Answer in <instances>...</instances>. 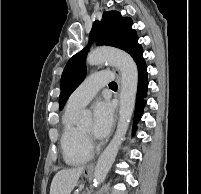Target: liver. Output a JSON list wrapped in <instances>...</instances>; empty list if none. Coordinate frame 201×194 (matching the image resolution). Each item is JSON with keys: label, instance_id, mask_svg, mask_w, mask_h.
I'll use <instances>...</instances> for the list:
<instances>
[{"label": "liver", "instance_id": "obj_1", "mask_svg": "<svg viewBox=\"0 0 201 194\" xmlns=\"http://www.w3.org/2000/svg\"><path fill=\"white\" fill-rule=\"evenodd\" d=\"M84 169L81 166L58 171L51 182L50 194H70Z\"/></svg>", "mask_w": 201, "mask_h": 194}]
</instances>
